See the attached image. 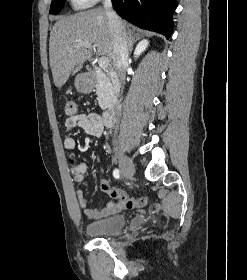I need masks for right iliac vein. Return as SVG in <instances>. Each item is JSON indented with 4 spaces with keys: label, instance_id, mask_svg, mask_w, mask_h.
I'll return each mask as SVG.
<instances>
[{
    "label": "right iliac vein",
    "instance_id": "1",
    "mask_svg": "<svg viewBox=\"0 0 247 280\" xmlns=\"http://www.w3.org/2000/svg\"><path fill=\"white\" fill-rule=\"evenodd\" d=\"M121 174L124 177L131 178L135 174V167L132 160L122 152H116Z\"/></svg>",
    "mask_w": 247,
    "mask_h": 280
}]
</instances>
